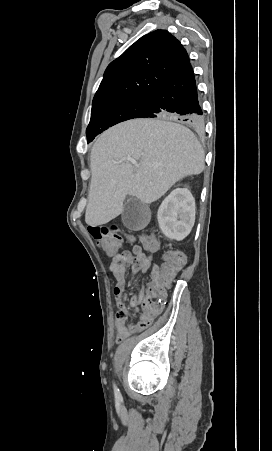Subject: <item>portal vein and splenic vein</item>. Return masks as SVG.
Instances as JSON below:
<instances>
[{
	"label": "portal vein and splenic vein",
	"instance_id": "18ae733b",
	"mask_svg": "<svg viewBox=\"0 0 272 451\" xmlns=\"http://www.w3.org/2000/svg\"><path fill=\"white\" fill-rule=\"evenodd\" d=\"M125 160H132V158H125ZM115 164H119V162H115Z\"/></svg>",
	"mask_w": 272,
	"mask_h": 451
}]
</instances>
